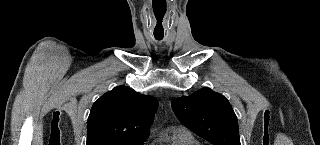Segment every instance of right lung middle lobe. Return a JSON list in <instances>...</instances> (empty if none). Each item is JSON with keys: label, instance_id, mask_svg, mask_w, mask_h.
<instances>
[{"label": "right lung middle lobe", "instance_id": "1", "mask_svg": "<svg viewBox=\"0 0 320 145\" xmlns=\"http://www.w3.org/2000/svg\"><path fill=\"white\" fill-rule=\"evenodd\" d=\"M143 142H101L98 145H142Z\"/></svg>", "mask_w": 320, "mask_h": 145}]
</instances>
